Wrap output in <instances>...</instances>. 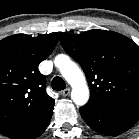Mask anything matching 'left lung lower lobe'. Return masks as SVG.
Here are the masks:
<instances>
[{
	"label": "left lung lower lobe",
	"instance_id": "left-lung-lower-lobe-1",
	"mask_svg": "<svg viewBox=\"0 0 139 139\" xmlns=\"http://www.w3.org/2000/svg\"><path fill=\"white\" fill-rule=\"evenodd\" d=\"M84 121L94 131L105 135H117L130 129L139 119V102L115 108L84 105L80 108Z\"/></svg>",
	"mask_w": 139,
	"mask_h": 139
}]
</instances>
